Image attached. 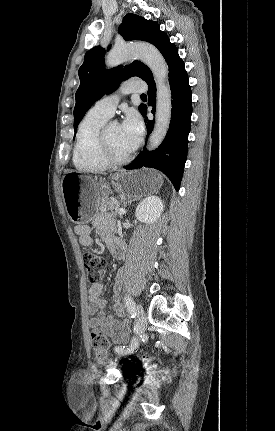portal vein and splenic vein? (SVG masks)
I'll return each instance as SVG.
<instances>
[{
  "label": "portal vein and splenic vein",
  "instance_id": "18ae733b",
  "mask_svg": "<svg viewBox=\"0 0 275 431\" xmlns=\"http://www.w3.org/2000/svg\"><path fill=\"white\" fill-rule=\"evenodd\" d=\"M117 213H118L119 215H123V214H125V213H126V210H125V209L120 208V209L117 211Z\"/></svg>",
  "mask_w": 275,
  "mask_h": 431
}]
</instances>
